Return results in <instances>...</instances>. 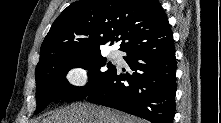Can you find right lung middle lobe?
Masks as SVG:
<instances>
[{
    "label": "right lung middle lobe",
    "mask_w": 221,
    "mask_h": 123,
    "mask_svg": "<svg viewBox=\"0 0 221 123\" xmlns=\"http://www.w3.org/2000/svg\"><path fill=\"white\" fill-rule=\"evenodd\" d=\"M75 67L88 70L89 82L84 87H76L66 80L67 72ZM115 66L102 57L100 51L62 57L36 67V102L38 114L52 101L81 100L97 84L103 82Z\"/></svg>",
    "instance_id": "right-lung-middle-lobe-1"
}]
</instances>
